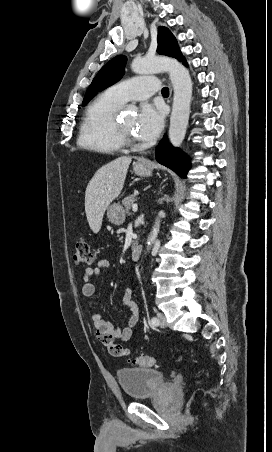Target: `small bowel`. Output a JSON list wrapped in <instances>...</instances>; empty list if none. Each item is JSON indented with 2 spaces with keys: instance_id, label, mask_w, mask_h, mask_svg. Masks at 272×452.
Returning a JSON list of instances; mask_svg holds the SVG:
<instances>
[{
  "instance_id": "1",
  "label": "small bowel",
  "mask_w": 272,
  "mask_h": 452,
  "mask_svg": "<svg viewBox=\"0 0 272 452\" xmlns=\"http://www.w3.org/2000/svg\"><path fill=\"white\" fill-rule=\"evenodd\" d=\"M111 267V263L107 259L98 260L94 266L88 267L83 272L84 283L82 285L81 291L82 295L88 299L92 298L95 294V285L92 279L100 275L103 271L108 270ZM123 304L127 306L130 310V317L128 323L125 327L120 328L115 326L110 321L102 318L98 312H93L91 314V320L96 330L97 338L105 345L109 352L114 356H124L113 351L115 346L122 347L119 342H127L131 339L133 334V329L139 321V309L136 302L133 299V290L131 287H127L123 293ZM92 307V304H91ZM128 355V354H126Z\"/></svg>"
}]
</instances>
